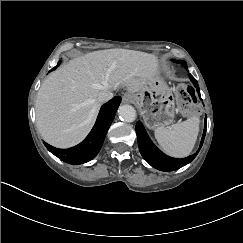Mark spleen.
<instances>
[{"label": "spleen", "mask_w": 243, "mask_h": 243, "mask_svg": "<svg viewBox=\"0 0 243 243\" xmlns=\"http://www.w3.org/2000/svg\"><path fill=\"white\" fill-rule=\"evenodd\" d=\"M199 133V119L193 116L170 127H157L155 138L170 156L183 158L193 150Z\"/></svg>", "instance_id": "spleen-1"}]
</instances>
